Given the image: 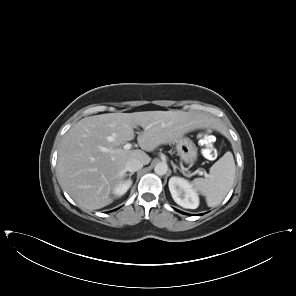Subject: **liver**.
<instances>
[{
	"label": "liver",
	"instance_id": "obj_1",
	"mask_svg": "<svg viewBox=\"0 0 296 296\" xmlns=\"http://www.w3.org/2000/svg\"><path fill=\"white\" fill-rule=\"evenodd\" d=\"M137 126L143 128L137 136L142 150L121 149L122 144L135 138L133 128ZM214 126L215 120L206 113L180 110L85 117L73 125L61 141L58 182L81 208H103L113 202L112 193L123 182L129 160L138 159L147 165L151 158L144 151L177 142L192 130Z\"/></svg>",
	"mask_w": 296,
	"mask_h": 296
}]
</instances>
